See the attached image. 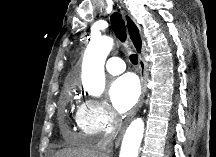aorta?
Returning a JSON list of instances; mask_svg holds the SVG:
<instances>
[{
  "mask_svg": "<svg viewBox=\"0 0 216 157\" xmlns=\"http://www.w3.org/2000/svg\"><path fill=\"white\" fill-rule=\"evenodd\" d=\"M112 46L113 39L108 36L92 39L87 46L82 65V84L93 96H101L105 89L104 65ZM143 133V120H133L124 135L120 157H138Z\"/></svg>",
  "mask_w": 216,
  "mask_h": 157,
  "instance_id": "obj_1",
  "label": "aorta"
}]
</instances>
